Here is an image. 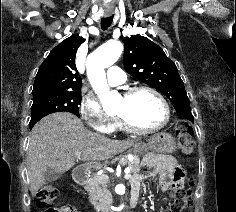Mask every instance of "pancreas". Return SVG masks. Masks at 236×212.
I'll use <instances>...</instances> for the list:
<instances>
[{"instance_id": "cf45deb5", "label": "pancreas", "mask_w": 236, "mask_h": 212, "mask_svg": "<svg viewBox=\"0 0 236 212\" xmlns=\"http://www.w3.org/2000/svg\"><path fill=\"white\" fill-rule=\"evenodd\" d=\"M139 158L134 157L132 162H128L126 158L121 160V164L128 163L130 166V177L131 174H136L139 171ZM86 190L89 194V199L94 208L99 211H104L109 206L110 193L107 189V181L101 180L99 177L94 176L88 181Z\"/></svg>"}]
</instances>
